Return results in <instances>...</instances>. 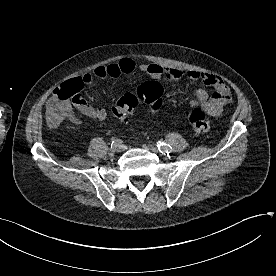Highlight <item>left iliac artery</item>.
Listing matches in <instances>:
<instances>
[{"mask_svg":"<svg viewBox=\"0 0 276 276\" xmlns=\"http://www.w3.org/2000/svg\"><path fill=\"white\" fill-rule=\"evenodd\" d=\"M157 148L164 154H169L172 151V147L170 145L160 141L157 143Z\"/></svg>","mask_w":276,"mask_h":276,"instance_id":"left-iliac-artery-1","label":"left iliac artery"}]
</instances>
